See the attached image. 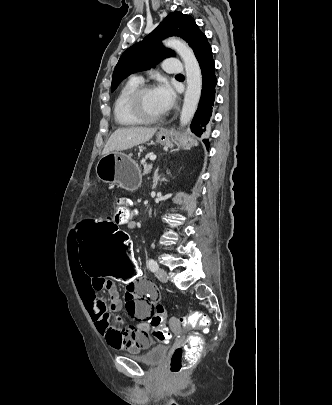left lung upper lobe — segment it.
Listing matches in <instances>:
<instances>
[{
  "label": "left lung upper lobe",
  "mask_w": 332,
  "mask_h": 405,
  "mask_svg": "<svg viewBox=\"0 0 332 405\" xmlns=\"http://www.w3.org/2000/svg\"><path fill=\"white\" fill-rule=\"evenodd\" d=\"M169 36H179L188 42L195 56L208 45L207 38L195 23V20L181 12L170 13L142 41L128 48L120 57L112 77L111 91L132 73L154 67L162 59L174 56V52L162 46L161 40Z\"/></svg>",
  "instance_id": "5c2ea615"
}]
</instances>
